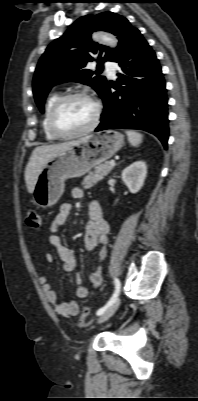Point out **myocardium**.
I'll use <instances>...</instances> for the list:
<instances>
[{
  "mask_svg": "<svg viewBox=\"0 0 198 401\" xmlns=\"http://www.w3.org/2000/svg\"><path fill=\"white\" fill-rule=\"evenodd\" d=\"M77 98H82L89 100L92 102L95 108V114L92 123L85 129L73 132V133H64L61 132L55 123V117L58 112V110L61 108V106L66 103L69 100L72 99H77ZM101 112H102V107L100 102L92 95L86 93V92H72L68 93L65 95L60 96L52 105L49 114H48V128L53 136L59 139H72V138H77L83 135H86L90 132H92L99 124L100 118H101Z\"/></svg>",
  "mask_w": 198,
  "mask_h": 401,
  "instance_id": "obj_1",
  "label": "myocardium"
}]
</instances>
